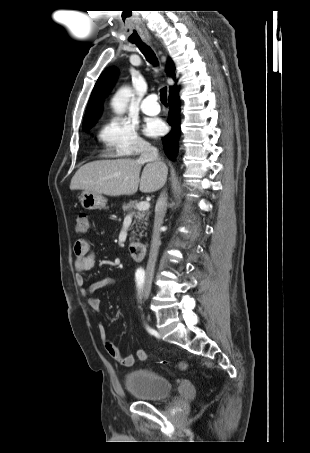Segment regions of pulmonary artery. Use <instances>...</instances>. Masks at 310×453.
<instances>
[{"instance_id":"e3ab8cb5","label":"pulmonary artery","mask_w":310,"mask_h":453,"mask_svg":"<svg viewBox=\"0 0 310 453\" xmlns=\"http://www.w3.org/2000/svg\"><path fill=\"white\" fill-rule=\"evenodd\" d=\"M141 110L146 115L155 116L160 112V106L157 102V95H148L141 104Z\"/></svg>"}]
</instances>
